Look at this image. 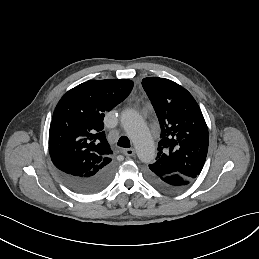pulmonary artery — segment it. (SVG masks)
<instances>
[{
	"label": "pulmonary artery",
	"instance_id": "obj_1",
	"mask_svg": "<svg viewBox=\"0 0 259 259\" xmlns=\"http://www.w3.org/2000/svg\"><path fill=\"white\" fill-rule=\"evenodd\" d=\"M121 127L125 133L131 138H134L135 131L137 129V122L130 114H125L121 118Z\"/></svg>",
	"mask_w": 259,
	"mask_h": 259
}]
</instances>
